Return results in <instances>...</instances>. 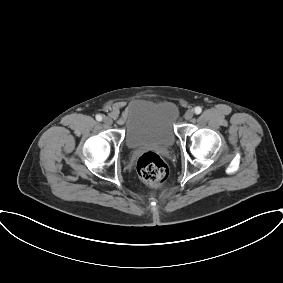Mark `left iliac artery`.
Here are the masks:
<instances>
[{"label": "left iliac artery", "instance_id": "left-iliac-artery-1", "mask_svg": "<svg viewBox=\"0 0 283 283\" xmlns=\"http://www.w3.org/2000/svg\"><path fill=\"white\" fill-rule=\"evenodd\" d=\"M194 112H195L196 114H200V113L202 112V108L199 107V106H197V107H195Z\"/></svg>", "mask_w": 283, "mask_h": 283}]
</instances>
